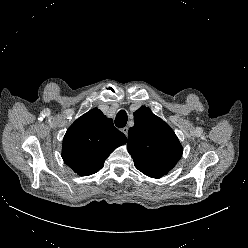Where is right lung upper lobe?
Instances as JSON below:
<instances>
[{
    "instance_id": "obj_1",
    "label": "right lung upper lobe",
    "mask_w": 248,
    "mask_h": 248,
    "mask_svg": "<svg viewBox=\"0 0 248 248\" xmlns=\"http://www.w3.org/2000/svg\"><path fill=\"white\" fill-rule=\"evenodd\" d=\"M127 142L113 120L94 108L78 118L63 139L62 158L77 174L87 176L103 167L105 159Z\"/></svg>"
}]
</instances>
